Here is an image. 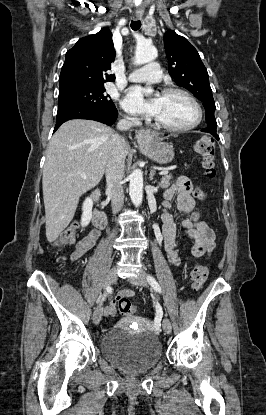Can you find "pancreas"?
Here are the masks:
<instances>
[{
	"label": "pancreas",
	"instance_id": "obj_1",
	"mask_svg": "<svg viewBox=\"0 0 266 415\" xmlns=\"http://www.w3.org/2000/svg\"><path fill=\"white\" fill-rule=\"evenodd\" d=\"M171 179H172L171 175H167V174L163 175L161 178V181L158 183V186L161 188L169 187Z\"/></svg>",
	"mask_w": 266,
	"mask_h": 415
}]
</instances>
